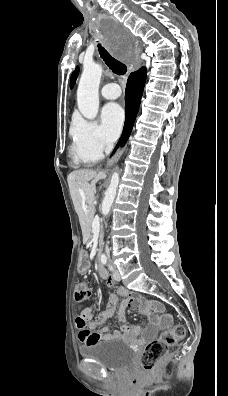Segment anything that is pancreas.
Returning a JSON list of instances; mask_svg holds the SVG:
<instances>
[{
  "mask_svg": "<svg viewBox=\"0 0 228 396\" xmlns=\"http://www.w3.org/2000/svg\"><path fill=\"white\" fill-rule=\"evenodd\" d=\"M93 216H94V214H93ZM93 216H92L91 221H90V226H91V224H92V222H93V219H94ZM89 230H90V228H89ZM102 236H103V231H102V229H101L100 237L102 238ZM89 239H90V238H89ZM90 240H91V239H90ZM90 240H88L87 242L90 243V242H91Z\"/></svg>",
  "mask_w": 228,
  "mask_h": 396,
  "instance_id": "obj_1",
  "label": "pancreas"
}]
</instances>
